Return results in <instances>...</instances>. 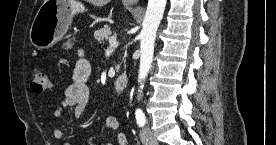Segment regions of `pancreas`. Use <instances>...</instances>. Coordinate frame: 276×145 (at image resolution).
I'll return each mask as SVG.
<instances>
[{"label":"pancreas","mask_w":276,"mask_h":145,"mask_svg":"<svg viewBox=\"0 0 276 145\" xmlns=\"http://www.w3.org/2000/svg\"><path fill=\"white\" fill-rule=\"evenodd\" d=\"M112 31L109 27L99 29L94 33V38L100 43L103 44L111 37ZM120 66L116 67L117 72L119 71Z\"/></svg>","instance_id":"1"}]
</instances>
